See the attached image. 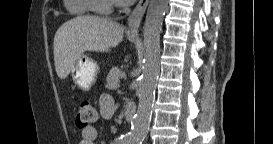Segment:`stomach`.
<instances>
[{
  "label": "stomach",
  "mask_w": 273,
  "mask_h": 144,
  "mask_svg": "<svg viewBox=\"0 0 273 144\" xmlns=\"http://www.w3.org/2000/svg\"><path fill=\"white\" fill-rule=\"evenodd\" d=\"M131 42L136 39L129 37ZM99 72L97 62L86 54H82L74 63L70 73L74 83L82 90L88 91L94 85Z\"/></svg>",
  "instance_id": "stomach-1"
}]
</instances>
